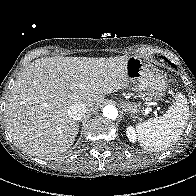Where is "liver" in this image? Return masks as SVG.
<instances>
[{"mask_svg":"<svg viewBox=\"0 0 196 196\" xmlns=\"http://www.w3.org/2000/svg\"><path fill=\"white\" fill-rule=\"evenodd\" d=\"M127 59L54 56L30 63L6 102L4 118L13 140L42 158L68 150L78 133L68 108L79 103L94 110L104 95L125 88Z\"/></svg>","mask_w":196,"mask_h":196,"instance_id":"liver-1","label":"liver"}]
</instances>
